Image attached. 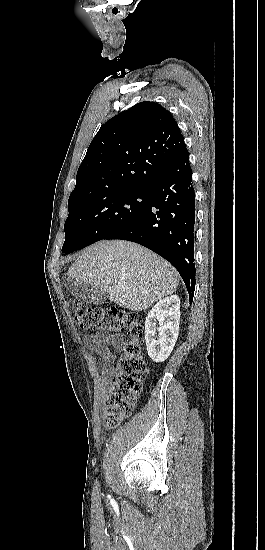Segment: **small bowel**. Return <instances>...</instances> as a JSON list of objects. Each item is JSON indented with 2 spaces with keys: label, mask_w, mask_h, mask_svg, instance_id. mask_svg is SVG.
<instances>
[{
  "label": "small bowel",
  "mask_w": 265,
  "mask_h": 550,
  "mask_svg": "<svg viewBox=\"0 0 265 550\" xmlns=\"http://www.w3.org/2000/svg\"><path fill=\"white\" fill-rule=\"evenodd\" d=\"M86 346L96 352L103 360L105 368H109L115 358V352L110 349L119 350L122 348L125 338L122 335L95 334L84 337ZM96 377L101 380L100 373L95 371Z\"/></svg>",
  "instance_id": "1"
}]
</instances>
